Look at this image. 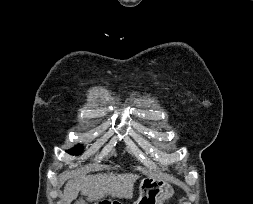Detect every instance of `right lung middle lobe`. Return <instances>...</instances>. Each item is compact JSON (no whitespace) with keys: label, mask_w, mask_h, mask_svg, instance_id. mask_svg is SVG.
<instances>
[{"label":"right lung middle lobe","mask_w":253,"mask_h":204,"mask_svg":"<svg viewBox=\"0 0 253 204\" xmlns=\"http://www.w3.org/2000/svg\"><path fill=\"white\" fill-rule=\"evenodd\" d=\"M68 153L71 154V155H78V154H80L81 153V146L78 145L77 147L69 150Z\"/></svg>","instance_id":"1"}]
</instances>
